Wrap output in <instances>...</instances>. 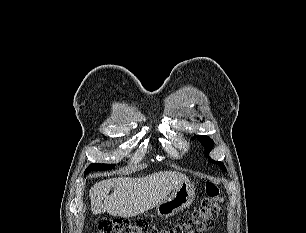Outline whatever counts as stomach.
I'll use <instances>...</instances> for the list:
<instances>
[{
  "label": "stomach",
  "mask_w": 306,
  "mask_h": 233,
  "mask_svg": "<svg viewBox=\"0 0 306 233\" xmlns=\"http://www.w3.org/2000/svg\"><path fill=\"white\" fill-rule=\"evenodd\" d=\"M195 198L194 185L190 182L179 184L162 202L156 206L159 216L168 218L191 205Z\"/></svg>",
  "instance_id": "stomach-1"
}]
</instances>
